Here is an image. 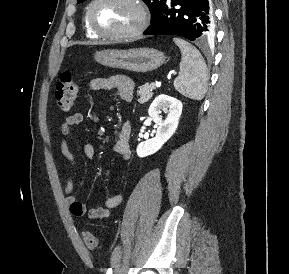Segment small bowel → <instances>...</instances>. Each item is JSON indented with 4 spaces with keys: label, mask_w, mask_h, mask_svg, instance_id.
Returning a JSON list of instances; mask_svg holds the SVG:
<instances>
[{
    "label": "small bowel",
    "mask_w": 289,
    "mask_h": 274,
    "mask_svg": "<svg viewBox=\"0 0 289 274\" xmlns=\"http://www.w3.org/2000/svg\"><path fill=\"white\" fill-rule=\"evenodd\" d=\"M92 90H115L121 100L130 102L133 96V82L130 78L125 76L102 77L92 79L89 83ZM83 121L81 113H74L68 116L61 124V134L63 139L61 141V153L72 164H75V157L70 146L66 140L73 134V127ZM131 133L130 122L122 124L118 138L114 144L113 150L124 161H128L131 157V150L129 146V137ZM83 154L86 158H93L95 156V146L91 142L83 145ZM125 179V174L122 173L119 186L122 185ZM66 203L68 204L72 214L76 217H88L90 219H104L109 217L111 210L116 208L122 202V193L119 190L116 194L108 197L103 206L88 209L85 203L79 201L74 195V180L69 177L65 184Z\"/></svg>",
    "instance_id": "1"
}]
</instances>
